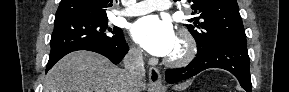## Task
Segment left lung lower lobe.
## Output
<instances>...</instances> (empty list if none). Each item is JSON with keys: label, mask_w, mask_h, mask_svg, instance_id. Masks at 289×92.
Returning a JSON list of instances; mask_svg holds the SVG:
<instances>
[{"label": "left lung lower lobe", "mask_w": 289, "mask_h": 92, "mask_svg": "<svg viewBox=\"0 0 289 92\" xmlns=\"http://www.w3.org/2000/svg\"><path fill=\"white\" fill-rule=\"evenodd\" d=\"M246 41L219 42L206 51L197 52L192 62L183 68L168 69L165 79L173 84L188 79L208 68H222L231 72L247 92L252 91Z\"/></svg>", "instance_id": "1"}]
</instances>
